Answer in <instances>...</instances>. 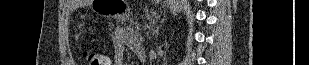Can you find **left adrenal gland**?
Segmentation results:
<instances>
[{
    "instance_id": "obj_1",
    "label": "left adrenal gland",
    "mask_w": 309,
    "mask_h": 65,
    "mask_svg": "<svg viewBox=\"0 0 309 65\" xmlns=\"http://www.w3.org/2000/svg\"><path fill=\"white\" fill-rule=\"evenodd\" d=\"M158 29H159V27H157V30H156L155 32H153V34H154V33H156V34H157ZM152 30H153V29H152Z\"/></svg>"
}]
</instances>
